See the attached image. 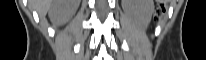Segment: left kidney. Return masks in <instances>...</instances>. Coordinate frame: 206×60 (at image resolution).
I'll list each match as a JSON object with an SVG mask.
<instances>
[{
  "label": "left kidney",
  "mask_w": 206,
  "mask_h": 60,
  "mask_svg": "<svg viewBox=\"0 0 206 60\" xmlns=\"http://www.w3.org/2000/svg\"><path fill=\"white\" fill-rule=\"evenodd\" d=\"M126 13L135 17L142 27H147L153 12L152 0H123Z\"/></svg>",
  "instance_id": "5707ae66"
}]
</instances>
